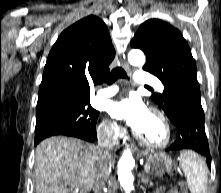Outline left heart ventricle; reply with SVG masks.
Masks as SVG:
<instances>
[{"instance_id": "b2bd125f", "label": "left heart ventricle", "mask_w": 221, "mask_h": 193, "mask_svg": "<svg viewBox=\"0 0 221 193\" xmlns=\"http://www.w3.org/2000/svg\"><path fill=\"white\" fill-rule=\"evenodd\" d=\"M151 142L160 143L165 138V129L160 119L153 113L149 112L146 120L138 129Z\"/></svg>"}]
</instances>
